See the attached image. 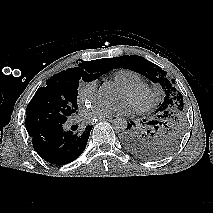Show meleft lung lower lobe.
Here are the masks:
<instances>
[{
    "instance_id": "left-lung-lower-lobe-1",
    "label": "left lung lower lobe",
    "mask_w": 213,
    "mask_h": 213,
    "mask_svg": "<svg viewBox=\"0 0 213 213\" xmlns=\"http://www.w3.org/2000/svg\"><path fill=\"white\" fill-rule=\"evenodd\" d=\"M133 125H135L134 123H129L128 122V126H127V131L123 134V143L126 147L130 146L133 144L134 142V135L136 134L135 131L138 130V128H133ZM122 133V132H121Z\"/></svg>"
}]
</instances>
